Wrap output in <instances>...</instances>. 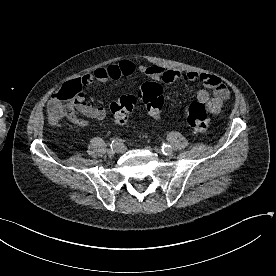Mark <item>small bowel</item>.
I'll return each instance as SVG.
<instances>
[{
	"mask_svg": "<svg viewBox=\"0 0 276 276\" xmlns=\"http://www.w3.org/2000/svg\"><path fill=\"white\" fill-rule=\"evenodd\" d=\"M135 72H139L150 79L161 81L169 84L175 81H199L206 88L212 91L211 95L204 89L197 92V102L202 103L210 114H218L221 111L223 103L229 98V90L222 80L212 74L199 72H181L174 69H166L158 65H139L137 66L129 59L121 60L117 64H111L104 67L96 68L92 73L83 75L78 80L82 88L98 81L105 83L109 80H118L124 76H130ZM50 108V103H49ZM83 115L93 120H103L107 111L103 106H95L89 104L83 95L76 101L73 111L67 115V118L77 126L85 127L88 122L79 115Z\"/></svg>",
	"mask_w": 276,
	"mask_h": 276,
	"instance_id": "c3829d8e",
	"label": "small bowel"
}]
</instances>
